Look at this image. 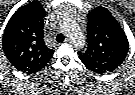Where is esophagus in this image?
Here are the masks:
<instances>
[{
  "label": "esophagus",
  "mask_w": 135,
  "mask_h": 95,
  "mask_svg": "<svg viewBox=\"0 0 135 95\" xmlns=\"http://www.w3.org/2000/svg\"><path fill=\"white\" fill-rule=\"evenodd\" d=\"M64 42H65V43H71L70 39H68V38L65 39Z\"/></svg>",
  "instance_id": "1"
}]
</instances>
